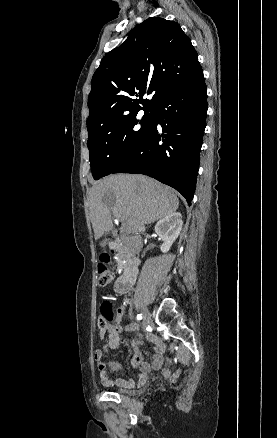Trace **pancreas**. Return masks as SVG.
<instances>
[{"label":"pancreas","mask_w":277,"mask_h":438,"mask_svg":"<svg viewBox=\"0 0 277 438\" xmlns=\"http://www.w3.org/2000/svg\"><path fill=\"white\" fill-rule=\"evenodd\" d=\"M116 263L119 265L121 262L118 260Z\"/></svg>","instance_id":"cf45deb5"}]
</instances>
